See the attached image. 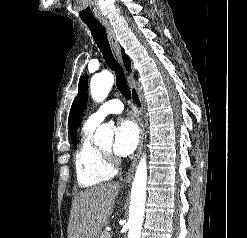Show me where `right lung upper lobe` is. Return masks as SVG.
Here are the masks:
<instances>
[{"mask_svg":"<svg viewBox=\"0 0 247 238\" xmlns=\"http://www.w3.org/2000/svg\"><path fill=\"white\" fill-rule=\"evenodd\" d=\"M123 61L128 71H131L130 58L122 50Z\"/></svg>","mask_w":247,"mask_h":238,"instance_id":"right-lung-upper-lobe-1","label":"right lung upper lobe"}]
</instances>
